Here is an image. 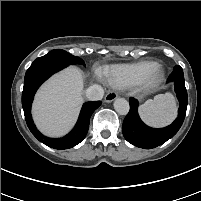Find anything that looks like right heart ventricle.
Wrapping results in <instances>:
<instances>
[{
  "mask_svg": "<svg viewBox=\"0 0 201 201\" xmlns=\"http://www.w3.org/2000/svg\"><path fill=\"white\" fill-rule=\"evenodd\" d=\"M157 64L154 61H140L131 64L113 65L104 70L108 83L114 87L125 88L143 81L147 72Z\"/></svg>",
  "mask_w": 201,
  "mask_h": 201,
  "instance_id": "1",
  "label": "right heart ventricle"
}]
</instances>
